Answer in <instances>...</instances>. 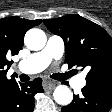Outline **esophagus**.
Instances as JSON below:
<instances>
[{
	"label": "esophagus",
	"mask_w": 112,
	"mask_h": 112,
	"mask_svg": "<svg viewBox=\"0 0 112 112\" xmlns=\"http://www.w3.org/2000/svg\"><path fill=\"white\" fill-rule=\"evenodd\" d=\"M58 85L57 81L51 80V79H44L43 81V87L45 90H53Z\"/></svg>",
	"instance_id": "34e87169"
}]
</instances>
